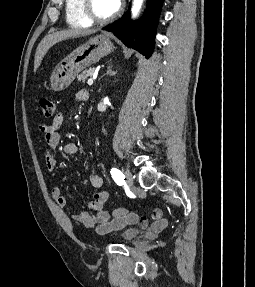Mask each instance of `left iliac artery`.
I'll return each instance as SVG.
<instances>
[{"mask_svg": "<svg viewBox=\"0 0 255 287\" xmlns=\"http://www.w3.org/2000/svg\"><path fill=\"white\" fill-rule=\"evenodd\" d=\"M111 175H112V178L114 179V181L118 185H122L125 182V176L120 170H118L116 168H112L111 169Z\"/></svg>", "mask_w": 255, "mask_h": 287, "instance_id": "44dca946", "label": "left iliac artery"}]
</instances>
